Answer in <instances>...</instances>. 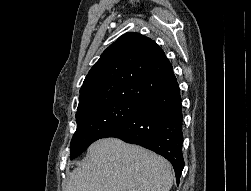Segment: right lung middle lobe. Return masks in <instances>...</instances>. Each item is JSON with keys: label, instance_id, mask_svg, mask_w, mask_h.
Masks as SVG:
<instances>
[{"label": "right lung middle lobe", "instance_id": "1", "mask_svg": "<svg viewBox=\"0 0 251 191\" xmlns=\"http://www.w3.org/2000/svg\"><path fill=\"white\" fill-rule=\"evenodd\" d=\"M140 106L135 103L116 101L77 111V129L70 143V158L79 156L90 144L126 120Z\"/></svg>", "mask_w": 251, "mask_h": 191}]
</instances>
